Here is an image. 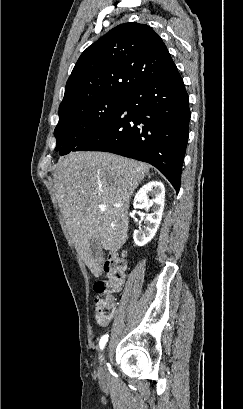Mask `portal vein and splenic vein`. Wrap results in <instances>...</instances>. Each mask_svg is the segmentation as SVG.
<instances>
[{
    "label": "portal vein and splenic vein",
    "instance_id": "1",
    "mask_svg": "<svg viewBox=\"0 0 243 409\" xmlns=\"http://www.w3.org/2000/svg\"><path fill=\"white\" fill-rule=\"evenodd\" d=\"M100 210H101V211H105V210H106V206L103 205V204H101V205H100Z\"/></svg>",
    "mask_w": 243,
    "mask_h": 409
}]
</instances>
